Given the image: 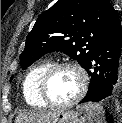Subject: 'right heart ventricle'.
I'll use <instances>...</instances> for the list:
<instances>
[{
    "label": "right heart ventricle",
    "mask_w": 122,
    "mask_h": 123,
    "mask_svg": "<svg viewBox=\"0 0 122 123\" xmlns=\"http://www.w3.org/2000/svg\"><path fill=\"white\" fill-rule=\"evenodd\" d=\"M52 65L50 61H43L32 67L23 82V96L28 105L34 108H45L39 94L40 81L46 70Z\"/></svg>",
    "instance_id": "e07e8e85"
}]
</instances>
